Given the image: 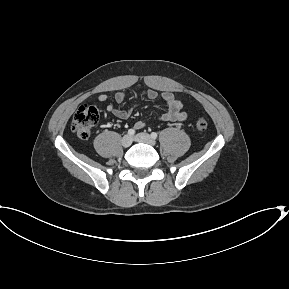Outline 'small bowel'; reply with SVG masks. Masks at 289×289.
<instances>
[{
  "instance_id": "c3829d8e",
  "label": "small bowel",
  "mask_w": 289,
  "mask_h": 289,
  "mask_svg": "<svg viewBox=\"0 0 289 289\" xmlns=\"http://www.w3.org/2000/svg\"><path fill=\"white\" fill-rule=\"evenodd\" d=\"M125 93L123 91H118L114 95V101L117 103H122L125 100ZM147 97L149 99H156L158 93L155 90H148ZM162 99L166 104L167 110L160 116L162 121H183L187 117V113L183 109L181 101L171 92H164L162 94ZM100 102H106L109 100L108 95L101 94L98 96ZM107 112L112 113L119 119H128L131 115L132 109H118L114 107L113 104H108L106 107ZM145 126L143 121H139L135 124L136 129H141Z\"/></svg>"
}]
</instances>
